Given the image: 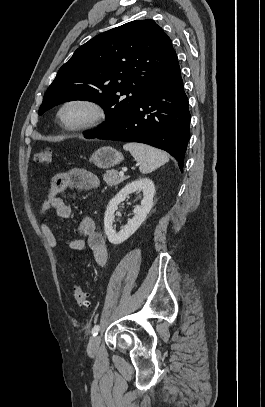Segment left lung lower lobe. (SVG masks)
<instances>
[{
    "instance_id": "0a47b994",
    "label": "left lung lower lobe",
    "mask_w": 265,
    "mask_h": 407,
    "mask_svg": "<svg viewBox=\"0 0 265 407\" xmlns=\"http://www.w3.org/2000/svg\"><path fill=\"white\" fill-rule=\"evenodd\" d=\"M191 115L180 68L154 85L128 117L92 138L145 143L170 153L183 171Z\"/></svg>"
}]
</instances>
